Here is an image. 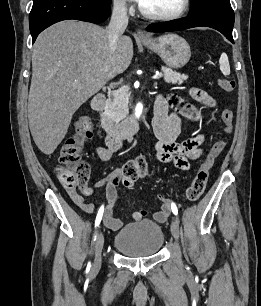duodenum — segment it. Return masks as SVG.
I'll use <instances>...</instances> for the list:
<instances>
[{
	"label": "duodenum",
	"instance_id": "410a0bca",
	"mask_svg": "<svg viewBox=\"0 0 261 306\" xmlns=\"http://www.w3.org/2000/svg\"><path fill=\"white\" fill-rule=\"evenodd\" d=\"M91 106L100 117L101 125L108 136L126 139L131 137L139 129V123L135 118H127L122 121L113 120L106 111V98L98 93L91 100Z\"/></svg>",
	"mask_w": 261,
	"mask_h": 306
}]
</instances>
